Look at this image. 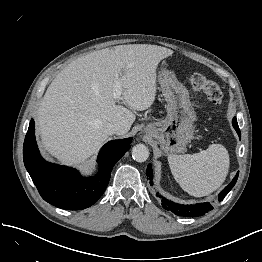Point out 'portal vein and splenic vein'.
<instances>
[{
  "label": "portal vein and splenic vein",
  "mask_w": 262,
  "mask_h": 262,
  "mask_svg": "<svg viewBox=\"0 0 262 262\" xmlns=\"http://www.w3.org/2000/svg\"><path fill=\"white\" fill-rule=\"evenodd\" d=\"M120 95H121L120 87L118 85H116L114 96H115V98H119Z\"/></svg>",
  "instance_id": "1"
}]
</instances>
